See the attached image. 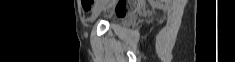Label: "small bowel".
<instances>
[{
    "instance_id": "small-bowel-1",
    "label": "small bowel",
    "mask_w": 235,
    "mask_h": 62,
    "mask_svg": "<svg viewBox=\"0 0 235 62\" xmlns=\"http://www.w3.org/2000/svg\"><path fill=\"white\" fill-rule=\"evenodd\" d=\"M119 8H126L125 3H124V4H120V5H118L117 10H118ZM117 10H116V11H117Z\"/></svg>"
}]
</instances>
